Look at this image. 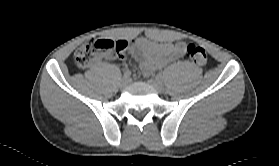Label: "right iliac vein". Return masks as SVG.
<instances>
[{
    "mask_svg": "<svg viewBox=\"0 0 279 166\" xmlns=\"http://www.w3.org/2000/svg\"><path fill=\"white\" fill-rule=\"evenodd\" d=\"M128 83H129V79L123 77L119 82V87L120 88H125L128 85Z\"/></svg>",
    "mask_w": 279,
    "mask_h": 166,
    "instance_id": "right-iliac-vein-1",
    "label": "right iliac vein"
}]
</instances>
